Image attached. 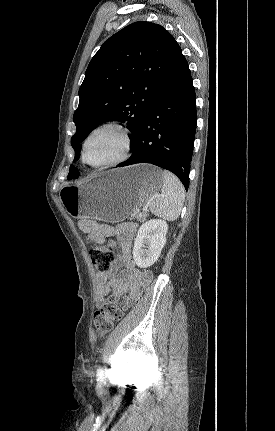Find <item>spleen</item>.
Returning <instances> with one entry per match:
<instances>
[{
    "instance_id": "obj_1",
    "label": "spleen",
    "mask_w": 275,
    "mask_h": 431,
    "mask_svg": "<svg viewBox=\"0 0 275 431\" xmlns=\"http://www.w3.org/2000/svg\"><path fill=\"white\" fill-rule=\"evenodd\" d=\"M161 194L150 203L151 212L168 221L176 220L181 213L185 190L180 180L171 172L163 171Z\"/></svg>"
}]
</instances>
